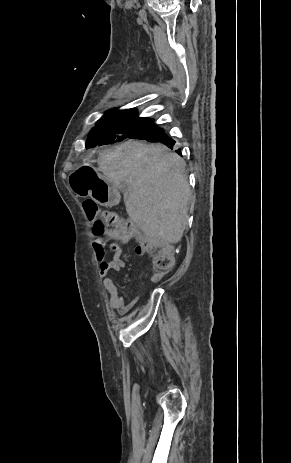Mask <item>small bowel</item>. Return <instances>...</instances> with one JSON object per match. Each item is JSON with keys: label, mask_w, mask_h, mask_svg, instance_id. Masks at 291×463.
Masks as SVG:
<instances>
[{"label": "small bowel", "mask_w": 291, "mask_h": 463, "mask_svg": "<svg viewBox=\"0 0 291 463\" xmlns=\"http://www.w3.org/2000/svg\"><path fill=\"white\" fill-rule=\"evenodd\" d=\"M121 242H126L128 240L119 239ZM106 241L95 240L93 243V249L95 252V257L99 262V274L102 278V286L109 294V303L112 310L119 313L120 315L127 314L132 307L139 301L141 297V292L145 287V283L141 285L139 292L133 296V298L125 303L124 298L119 293L118 287L113 279L110 277L111 271L120 272L122 271L126 264L122 259V248L118 242H111L108 244L109 250L113 253L111 259L106 258L105 253ZM137 255H143L144 252L140 250L138 246L135 248Z\"/></svg>", "instance_id": "obj_1"}]
</instances>
